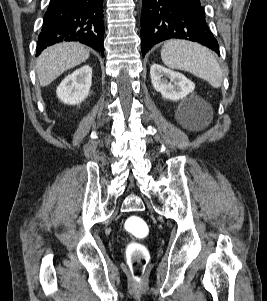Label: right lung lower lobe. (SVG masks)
Segmentation results:
<instances>
[{"label":"right lung lower lobe","mask_w":267,"mask_h":301,"mask_svg":"<svg viewBox=\"0 0 267 301\" xmlns=\"http://www.w3.org/2000/svg\"><path fill=\"white\" fill-rule=\"evenodd\" d=\"M103 0H50L36 56L62 41H79L104 56Z\"/></svg>","instance_id":"1"}]
</instances>
